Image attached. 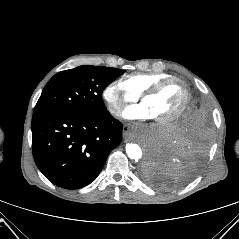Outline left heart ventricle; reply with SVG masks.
I'll return each instance as SVG.
<instances>
[{"label": "left heart ventricle", "mask_w": 239, "mask_h": 239, "mask_svg": "<svg viewBox=\"0 0 239 239\" xmlns=\"http://www.w3.org/2000/svg\"><path fill=\"white\" fill-rule=\"evenodd\" d=\"M184 92L179 84L165 86L156 95L147 97L143 103L155 120H161L174 114L182 105Z\"/></svg>", "instance_id": "1"}]
</instances>
